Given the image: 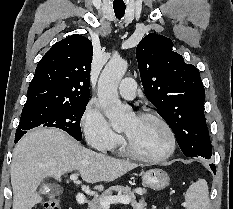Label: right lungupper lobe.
<instances>
[{"instance_id":"1","label":"right lung upper lobe","mask_w":233,"mask_h":209,"mask_svg":"<svg viewBox=\"0 0 233 209\" xmlns=\"http://www.w3.org/2000/svg\"><path fill=\"white\" fill-rule=\"evenodd\" d=\"M92 42L71 35L55 43L39 61L25 105L89 101Z\"/></svg>"}]
</instances>
